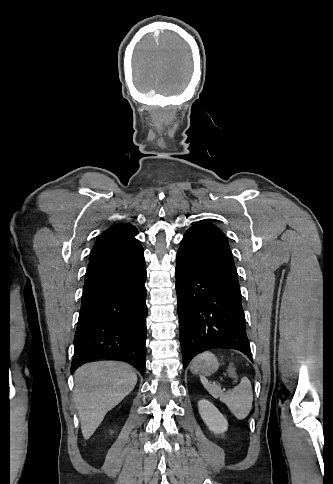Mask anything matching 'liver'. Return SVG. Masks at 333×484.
I'll return each mask as SVG.
<instances>
[{
	"mask_svg": "<svg viewBox=\"0 0 333 484\" xmlns=\"http://www.w3.org/2000/svg\"><path fill=\"white\" fill-rule=\"evenodd\" d=\"M75 403L84 439H89L109 410L135 387L136 373L127 364L99 361L84 364L75 374Z\"/></svg>",
	"mask_w": 333,
	"mask_h": 484,
	"instance_id": "6515ba94",
	"label": "liver"
}]
</instances>
